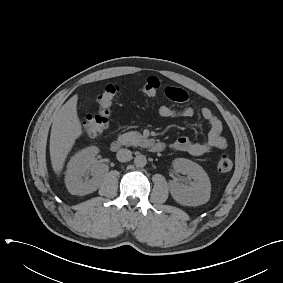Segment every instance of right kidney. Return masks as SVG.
Wrapping results in <instances>:
<instances>
[{"label":"right kidney","mask_w":283,"mask_h":283,"mask_svg":"<svg viewBox=\"0 0 283 283\" xmlns=\"http://www.w3.org/2000/svg\"><path fill=\"white\" fill-rule=\"evenodd\" d=\"M98 152L96 146H90L71 157L67 165L65 184L72 195L90 194L99 187L108 166L93 164ZM90 176L92 177L89 178Z\"/></svg>","instance_id":"1"}]
</instances>
